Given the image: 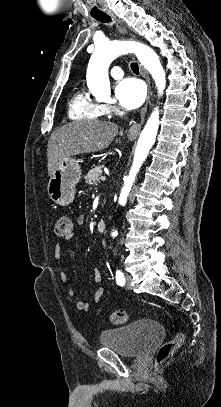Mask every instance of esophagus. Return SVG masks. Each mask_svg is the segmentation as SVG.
Returning a JSON list of instances; mask_svg holds the SVG:
<instances>
[{
  "label": "esophagus",
  "instance_id": "obj_1",
  "mask_svg": "<svg viewBox=\"0 0 221 407\" xmlns=\"http://www.w3.org/2000/svg\"><path fill=\"white\" fill-rule=\"evenodd\" d=\"M106 13H107V15H108L115 23H121V22L116 18V16L114 15L113 12L107 11ZM120 29H121L122 32H126V30H125V28L122 26V24H121V28H120ZM140 69H141V72H142L143 77L146 79V82H147V84H148L147 100H146L145 106H144V107L142 108V110H141V120H140V122L133 124V125L129 128V130H128V132H127L128 137H134V136H136V135L140 132L141 127H142L143 122H144V116H145V113H146V111H147V104L149 103V99H150V96H151V94H152V92H151V87H150V77H149V74H148V72H147L143 67L140 66Z\"/></svg>",
  "mask_w": 221,
  "mask_h": 407
}]
</instances>
